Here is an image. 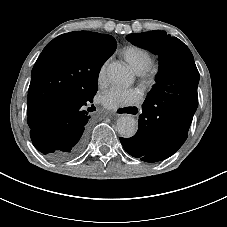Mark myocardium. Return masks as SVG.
I'll list each match as a JSON object with an SVG mask.
<instances>
[{
	"mask_svg": "<svg viewBox=\"0 0 227 227\" xmlns=\"http://www.w3.org/2000/svg\"><path fill=\"white\" fill-rule=\"evenodd\" d=\"M160 75V66L156 63H150L143 72L140 73V78L143 83L153 85L156 83Z\"/></svg>",
	"mask_w": 227,
	"mask_h": 227,
	"instance_id": "1",
	"label": "myocardium"
}]
</instances>
